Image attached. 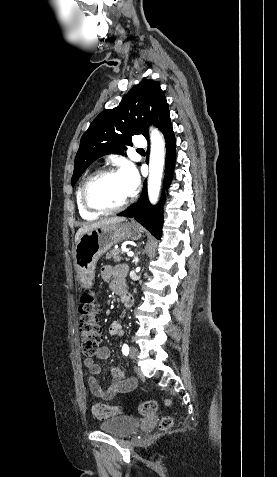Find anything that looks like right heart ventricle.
I'll return each mask as SVG.
<instances>
[{
    "mask_svg": "<svg viewBox=\"0 0 277 477\" xmlns=\"http://www.w3.org/2000/svg\"><path fill=\"white\" fill-rule=\"evenodd\" d=\"M91 175H89L87 178H85V180L82 182V184L80 185L79 189H78V192H77V205H78V210H79V213H80V216L85 219V220H95L99 217L98 214H94V213H91L89 211H87L83 206H82V203H81V190L83 188V185L85 184V182L88 180V178L90 177Z\"/></svg>",
    "mask_w": 277,
    "mask_h": 477,
    "instance_id": "right-heart-ventricle-1",
    "label": "right heart ventricle"
}]
</instances>
